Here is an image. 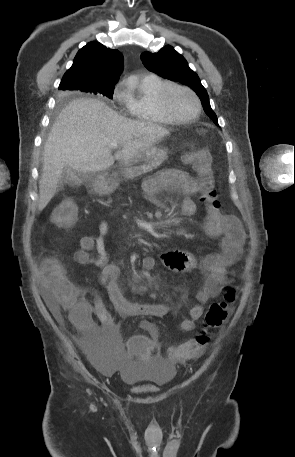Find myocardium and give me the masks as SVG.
Returning <instances> with one entry per match:
<instances>
[{
    "label": "myocardium",
    "instance_id": "obj_1",
    "mask_svg": "<svg viewBox=\"0 0 295 457\" xmlns=\"http://www.w3.org/2000/svg\"><path fill=\"white\" fill-rule=\"evenodd\" d=\"M173 89L184 90L193 97L195 104H196V110L192 116L178 117L172 112V110L168 104V96ZM158 102H159L160 108L163 111V113L167 117H169L173 122H176V123H186V122H190V121L197 119L199 117V115L201 113V109H202L201 101H200L198 95L191 88L184 86V85L177 84V83L166 84L159 92Z\"/></svg>",
    "mask_w": 295,
    "mask_h": 457
}]
</instances>
